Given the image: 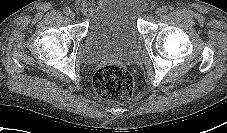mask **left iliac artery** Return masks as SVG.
I'll return each mask as SVG.
<instances>
[{
  "mask_svg": "<svg viewBox=\"0 0 227 133\" xmlns=\"http://www.w3.org/2000/svg\"><path fill=\"white\" fill-rule=\"evenodd\" d=\"M162 8H163V12H164V13L168 12L169 9H170V8H168L167 6H163Z\"/></svg>",
  "mask_w": 227,
  "mask_h": 133,
  "instance_id": "left-iliac-artery-1",
  "label": "left iliac artery"
}]
</instances>
